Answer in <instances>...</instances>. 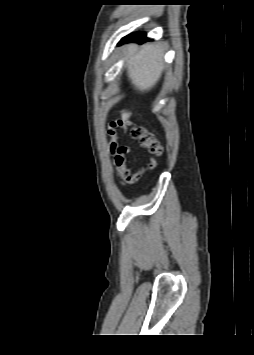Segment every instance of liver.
I'll return each mask as SVG.
<instances>
[{
    "label": "liver",
    "mask_w": 254,
    "mask_h": 355,
    "mask_svg": "<svg viewBox=\"0 0 254 355\" xmlns=\"http://www.w3.org/2000/svg\"><path fill=\"white\" fill-rule=\"evenodd\" d=\"M127 53V74L131 83L141 92L149 91L159 81L164 69L162 48L147 44L138 50L135 45H129ZM128 115L130 113H123V116Z\"/></svg>",
    "instance_id": "6515ba94"
}]
</instances>
